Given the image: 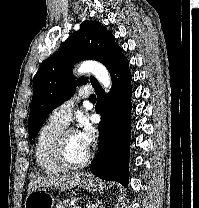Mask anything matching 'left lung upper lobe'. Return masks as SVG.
Segmentation results:
<instances>
[{"mask_svg":"<svg viewBox=\"0 0 199 208\" xmlns=\"http://www.w3.org/2000/svg\"><path fill=\"white\" fill-rule=\"evenodd\" d=\"M125 58L115 43V38L98 21H84L79 31L73 33L62 47L38 69L33 79V97L28 118L30 140L36 137L48 115L73 96L76 85L85 84L87 77L74 81L72 69L75 62L94 59L111 72ZM93 87L99 83L90 78Z\"/></svg>","mask_w":199,"mask_h":208,"instance_id":"5c2ea615","label":"left lung upper lobe"}]
</instances>
